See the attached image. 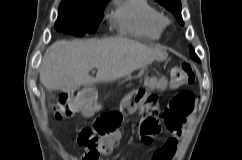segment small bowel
Segmentation results:
<instances>
[{
  "label": "small bowel",
  "instance_id": "c3829d8e",
  "mask_svg": "<svg viewBox=\"0 0 242 160\" xmlns=\"http://www.w3.org/2000/svg\"><path fill=\"white\" fill-rule=\"evenodd\" d=\"M127 100H128V97L124 99L122 110L127 113H133L134 111L137 110V107L135 105L128 106L126 104ZM95 112H96V109H93L91 111L84 112L82 114L84 116L89 117V116H92ZM182 126H183V119L180 120L179 126L174 128L167 127L169 131L173 134V137L169 138L161 148L156 150V152L152 157V160H171V158L174 156L177 149V136L180 134ZM141 135L143 136L142 133ZM150 136H148V138ZM119 139H120V132L118 130H114L113 132L107 134L106 136L100 137L96 147V153L98 154V157H99V154L107 155L111 153L115 144L119 141ZM91 152L92 150L90 148H86V152L83 156V160H90L89 156ZM98 157H97V160H98Z\"/></svg>",
  "mask_w": 242,
  "mask_h": 160
}]
</instances>
